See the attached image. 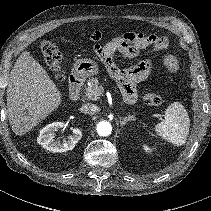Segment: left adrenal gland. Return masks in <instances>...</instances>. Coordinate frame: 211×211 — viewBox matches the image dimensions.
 <instances>
[{"label": "left adrenal gland", "mask_w": 211, "mask_h": 211, "mask_svg": "<svg viewBox=\"0 0 211 211\" xmlns=\"http://www.w3.org/2000/svg\"><path fill=\"white\" fill-rule=\"evenodd\" d=\"M134 120L133 116H128L120 120V125L123 127L124 125L127 124V122Z\"/></svg>", "instance_id": "a2214340"}]
</instances>
